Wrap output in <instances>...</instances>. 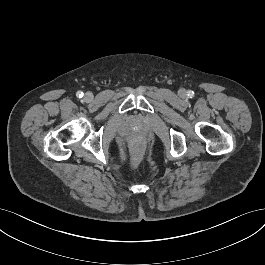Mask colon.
<instances>
[{
  "mask_svg": "<svg viewBox=\"0 0 265 265\" xmlns=\"http://www.w3.org/2000/svg\"><path fill=\"white\" fill-rule=\"evenodd\" d=\"M132 163H138L143 156L142 143L139 140H135L131 144Z\"/></svg>",
  "mask_w": 265,
  "mask_h": 265,
  "instance_id": "colon-1",
  "label": "colon"
}]
</instances>
